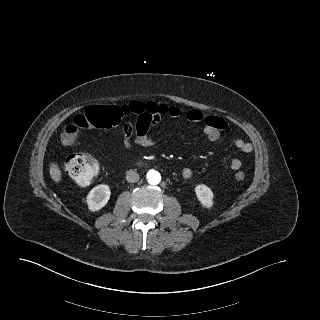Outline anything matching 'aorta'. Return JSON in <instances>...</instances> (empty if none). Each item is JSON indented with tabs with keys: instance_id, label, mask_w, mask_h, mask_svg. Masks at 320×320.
<instances>
[{
	"instance_id": "aorta-1",
	"label": "aorta",
	"mask_w": 320,
	"mask_h": 320,
	"mask_svg": "<svg viewBox=\"0 0 320 320\" xmlns=\"http://www.w3.org/2000/svg\"><path fill=\"white\" fill-rule=\"evenodd\" d=\"M147 180L148 183L151 185H157L161 182V175L159 172L154 171V170H150L147 173Z\"/></svg>"
}]
</instances>
